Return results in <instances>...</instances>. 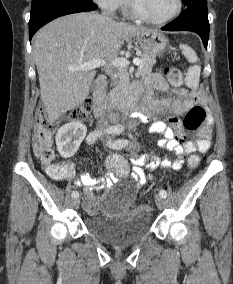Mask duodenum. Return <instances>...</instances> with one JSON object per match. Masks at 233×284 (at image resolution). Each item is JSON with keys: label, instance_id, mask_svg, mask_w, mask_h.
Returning a JSON list of instances; mask_svg holds the SVG:
<instances>
[{"label": "duodenum", "instance_id": "obj_1", "mask_svg": "<svg viewBox=\"0 0 233 284\" xmlns=\"http://www.w3.org/2000/svg\"><path fill=\"white\" fill-rule=\"evenodd\" d=\"M106 87H107V77L105 75H100L96 79V87L93 93V100H94V113L96 117L102 118L106 112ZM139 99V91H135L131 93L126 100L120 105L119 111L121 113L127 114L132 112L137 108V102ZM112 122L116 126L118 122L117 115L113 114L111 116ZM120 130V128H118Z\"/></svg>", "mask_w": 233, "mask_h": 284}]
</instances>
